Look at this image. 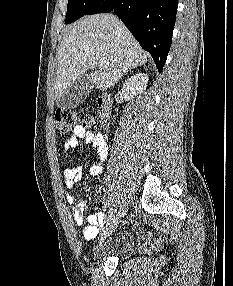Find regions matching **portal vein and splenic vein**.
Listing matches in <instances>:
<instances>
[{"label": "portal vein and splenic vein", "mask_w": 233, "mask_h": 286, "mask_svg": "<svg viewBox=\"0 0 233 286\" xmlns=\"http://www.w3.org/2000/svg\"><path fill=\"white\" fill-rule=\"evenodd\" d=\"M96 65H97L100 69L104 68V62H103V61L97 62Z\"/></svg>", "instance_id": "portal-vein-and-splenic-vein-1"}]
</instances>
